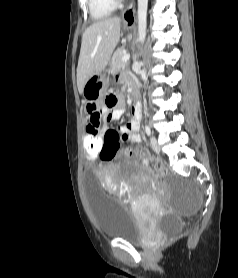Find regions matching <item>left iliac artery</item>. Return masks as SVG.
Here are the masks:
<instances>
[{"instance_id":"1","label":"left iliac artery","mask_w":238,"mask_h":278,"mask_svg":"<svg viewBox=\"0 0 238 278\" xmlns=\"http://www.w3.org/2000/svg\"><path fill=\"white\" fill-rule=\"evenodd\" d=\"M145 132L148 136L151 135V130H150V127L148 125L145 126Z\"/></svg>"}]
</instances>
